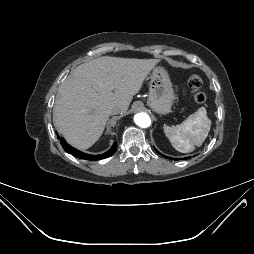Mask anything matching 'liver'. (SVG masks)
Listing matches in <instances>:
<instances>
[{
	"mask_svg": "<svg viewBox=\"0 0 254 254\" xmlns=\"http://www.w3.org/2000/svg\"><path fill=\"white\" fill-rule=\"evenodd\" d=\"M157 59L103 56L77 66L59 86L53 110L57 131L85 150L102 135L110 111L126 113Z\"/></svg>",
	"mask_w": 254,
	"mask_h": 254,
	"instance_id": "1",
	"label": "liver"
}]
</instances>
